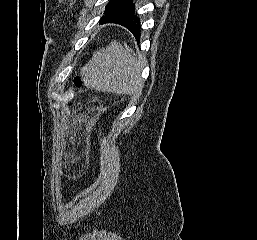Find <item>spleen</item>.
<instances>
[{
    "instance_id": "spleen-1",
    "label": "spleen",
    "mask_w": 257,
    "mask_h": 240,
    "mask_svg": "<svg viewBox=\"0 0 257 240\" xmlns=\"http://www.w3.org/2000/svg\"><path fill=\"white\" fill-rule=\"evenodd\" d=\"M132 49L124 43L117 42L97 52L84 67L83 75L86 85L98 91L115 94H134L143 88L140 58L131 54Z\"/></svg>"
}]
</instances>
